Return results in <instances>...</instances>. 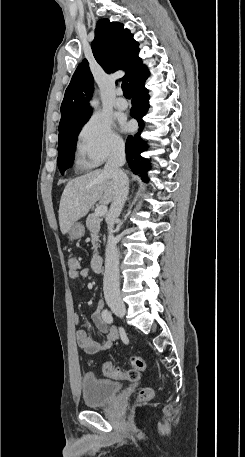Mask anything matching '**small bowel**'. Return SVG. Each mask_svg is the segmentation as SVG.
Listing matches in <instances>:
<instances>
[{"label":"small bowel","mask_w":245,"mask_h":457,"mask_svg":"<svg viewBox=\"0 0 245 457\" xmlns=\"http://www.w3.org/2000/svg\"><path fill=\"white\" fill-rule=\"evenodd\" d=\"M70 278L78 280L89 276V271L86 269L82 270H69ZM104 302L100 300L92 314V320L98 330L104 333V337L100 341H95L89 337L87 332L83 329H79L76 334L78 346L87 354H96L108 350L113 342L118 338V331L114 326L108 325L103 318ZM75 322L80 323V317L75 316Z\"/></svg>","instance_id":"c3829d8e"}]
</instances>
